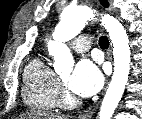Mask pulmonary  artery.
<instances>
[{
	"label": "pulmonary artery",
	"mask_w": 142,
	"mask_h": 119,
	"mask_svg": "<svg viewBox=\"0 0 142 119\" xmlns=\"http://www.w3.org/2000/svg\"><path fill=\"white\" fill-rule=\"evenodd\" d=\"M92 41L88 36L77 37L72 43L71 47L73 50L79 53L88 51L91 48Z\"/></svg>",
	"instance_id": "pulmonary-artery-1"
}]
</instances>
